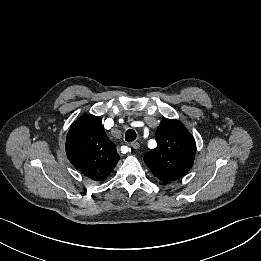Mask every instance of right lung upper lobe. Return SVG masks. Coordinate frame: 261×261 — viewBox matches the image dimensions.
I'll return each instance as SVG.
<instances>
[{"instance_id": "right-lung-upper-lobe-1", "label": "right lung upper lobe", "mask_w": 261, "mask_h": 261, "mask_svg": "<svg viewBox=\"0 0 261 261\" xmlns=\"http://www.w3.org/2000/svg\"><path fill=\"white\" fill-rule=\"evenodd\" d=\"M66 154L76 169L95 181L105 180L119 160L101 117L94 115H83L72 124L67 134Z\"/></svg>"}]
</instances>
